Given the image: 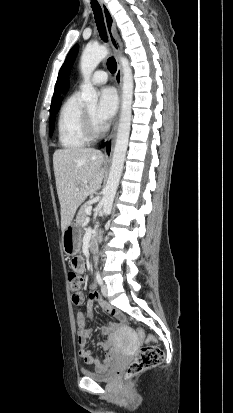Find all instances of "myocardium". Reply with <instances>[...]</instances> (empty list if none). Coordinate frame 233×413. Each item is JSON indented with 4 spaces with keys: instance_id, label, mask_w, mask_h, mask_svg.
I'll return each mask as SVG.
<instances>
[{
    "instance_id": "myocardium-1",
    "label": "myocardium",
    "mask_w": 233,
    "mask_h": 413,
    "mask_svg": "<svg viewBox=\"0 0 233 413\" xmlns=\"http://www.w3.org/2000/svg\"><path fill=\"white\" fill-rule=\"evenodd\" d=\"M83 131L89 141L100 138L103 134L102 127L91 116L86 108L83 111Z\"/></svg>"
}]
</instances>
